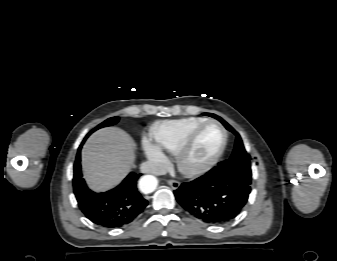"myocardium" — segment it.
<instances>
[{
    "label": "myocardium",
    "instance_id": "f54148a6",
    "mask_svg": "<svg viewBox=\"0 0 337 261\" xmlns=\"http://www.w3.org/2000/svg\"><path fill=\"white\" fill-rule=\"evenodd\" d=\"M209 125L217 126L222 133V142H221L219 149L210 159H208L203 164L198 165V166H188L186 163V159L194 144L196 137L198 136V134L200 133L202 129H204L205 127ZM227 142H228L227 131L225 127L219 121L214 120V119H209V120L204 121L203 123L193 128L188 133L183 143L181 144V146L175 153V162H176V166L178 170L183 175L188 176V177H196V176L205 174L218 163V161L220 160V158L225 152V149L227 147Z\"/></svg>",
    "mask_w": 337,
    "mask_h": 261
}]
</instances>
